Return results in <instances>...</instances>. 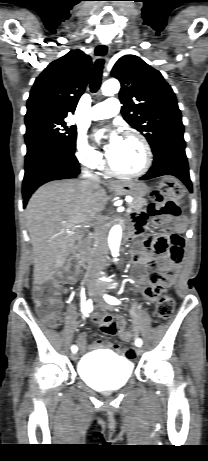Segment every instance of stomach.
Segmentation results:
<instances>
[{
	"label": "stomach",
	"mask_w": 208,
	"mask_h": 461,
	"mask_svg": "<svg viewBox=\"0 0 208 461\" xmlns=\"http://www.w3.org/2000/svg\"><path fill=\"white\" fill-rule=\"evenodd\" d=\"M117 194L120 195H130L134 199L143 198L149 191V187L143 182L129 181V182H120L112 186Z\"/></svg>",
	"instance_id": "1"
}]
</instances>
